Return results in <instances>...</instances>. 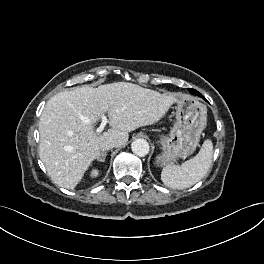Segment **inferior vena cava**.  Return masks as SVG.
I'll use <instances>...</instances> for the list:
<instances>
[{"label":"inferior vena cava","instance_id":"602c4592","mask_svg":"<svg viewBox=\"0 0 264 264\" xmlns=\"http://www.w3.org/2000/svg\"><path fill=\"white\" fill-rule=\"evenodd\" d=\"M116 146H118L116 141H114L112 139H108V140H105L104 142L101 143L100 149L102 151L110 150V149H112V148H114Z\"/></svg>","mask_w":264,"mask_h":264}]
</instances>
